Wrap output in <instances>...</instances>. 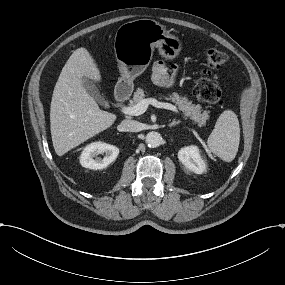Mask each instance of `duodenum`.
I'll list each match as a JSON object with an SVG mask.
<instances>
[{
	"label": "duodenum",
	"instance_id": "duodenum-1",
	"mask_svg": "<svg viewBox=\"0 0 285 285\" xmlns=\"http://www.w3.org/2000/svg\"><path fill=\"white\" fill-rule=\"evenodd\" d=\"M116 88L115 100L117 103H123L130 96L133 90V85L126 80H119L116 83Z\"/></svg>",
	"mask_w": 285,
	"mask_h": 285
}]
</instances>
